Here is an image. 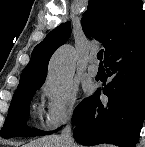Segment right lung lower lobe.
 <instances>
[{"instance_id": "98d812e1", "label": "right lung lower lobe", "mask_w": 145, "mask_h": 147, "mask_svg": "<svg viewBox=\"0 0 145 147\" xmlns=\"http://www.w3.org/2000/svg\"><path fill=\"white\" fill-rule=\"evenodd\" d=\"M112 81L75 109V140L136 147L145 120V26L124 40L104 61ZM108 97L99 99L100 93Z\"/></svg>"}]
</instances>
